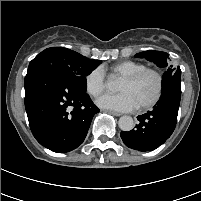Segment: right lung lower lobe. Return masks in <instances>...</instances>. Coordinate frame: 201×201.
<instances>
[{
	"label": "right lung lower lobe",
	"instance_id": "right-lung-lower-lobe-1",
	"mask_svg": "<svg viewBox=\"0 0 201 201\" xmlns=\"http://www.w3.org/2000/svg\"><path fill=\"white\" fill-rule=\"evenodd\" d=\"M24 85L25 109L36 140L57 153L77 148L99 112L88 94L45 67L28 71Z\"/></svg>",
	"mask_w": 201,
	"mask_h": 201
}]
</instances>
